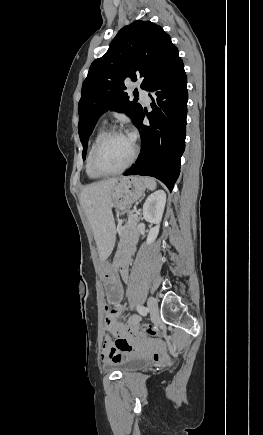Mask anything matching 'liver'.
Segmentation results:
<instances>
[{
  "mask_svg": "<svg viewBox=\"0 0 263 435\" xmlns=\"http://www.w3.org/2000/svg\"><path fill=\"white\" fill-rule=\"evenodd\" d=\"M121 178H110L86 186L80 195L82 205L98 247L101 261H105L114 248L115 222L112 214L111 191Z\"/></svg>",
  "mask_w": 263,
  "mask_h": 435,
  "instance_id": "obj_1",
  "label": "liver"
}]
</instances>
